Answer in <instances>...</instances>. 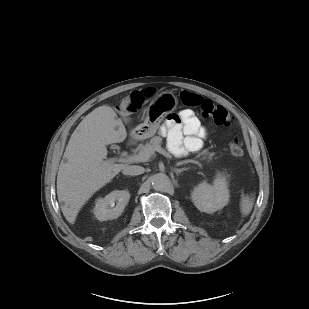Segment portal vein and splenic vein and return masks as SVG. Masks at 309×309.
<instances>
[{
	"instance_id": "18ae733b",
	"label": "portal vein and splenic vein",
	"mask_w": 309,
	"mask_h": 309,
	"mask_svg": "<svg viewBox=\"0 0 309 309\" xmlns=\"http://www.w3.org/2000/svg\"><path fill=\"white\" fill-rule=\"evenodd\" d=\"M156 151L159 152L160 154L164 155V156H169V154L164 149H162V148H157ZM150 156H151L150 152H148V151L143 152L142 151V152H139L136 155L129 156L128 160L136 161V162H145V161L149 160ZM123 160L124 159L111 158V159H108V160H106L104 162L106 164H113L116 161H123ZM190 162L198 164L200 166V164L198 162H196V161L190 160Z\"/></svg>"
}]
</instances>
